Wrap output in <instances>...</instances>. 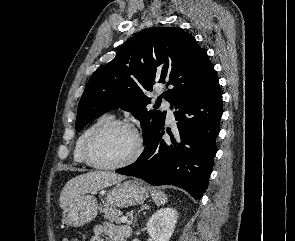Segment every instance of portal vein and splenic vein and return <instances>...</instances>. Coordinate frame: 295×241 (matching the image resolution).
Returning a JSON list of instances; mask_svg holds the SVG:
<instances>
[{
    "mask_svg": "<svg viewBox=\"0 0 295 241\" xmlns=\"http://www.w3.org/2000/svg\"><path fill=\"white\" fill-rule=\"evenodd\" d=\"M121 222L122 223H127L128 222L127 217H125V216L121 217Z\"/></svg>",
    "mask_w": 295,
    "mask_h": 241,
    "instance_id": "portal-vein-and-splenic-vein-1",
    "label": "portal vein and splenic vein"
}]
</instances>
